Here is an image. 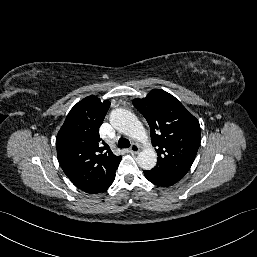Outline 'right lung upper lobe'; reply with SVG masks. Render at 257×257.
I'll use <instances>...</instances> for the list:
<instances>
[{
  "mask_svg": "<svg viewBox=\"0 0 257 257\" xmlns=\"http://www.w3.org/2000/svg\"><path fill=\"white\" fill-rule=\"evenodd\" d=\"M109 107L108 100L84 98L70 110L56 138L58 161L64 173L86 193L97 194L109 188L122 158L114 155L99 136Z\"/></svg>",
  "mask_w": 257,
  "mask_h": 257,
  "instance_id": "right-lung-upper-lobe-1",
  "label": "right lung upper lobe"
}]
</instances>
